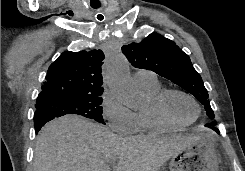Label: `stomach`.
Returning a JSON list of instances; mask_svg holds the SVG:
<instances>
[{"mask_svg":"<svg viewBox=\"0 0 245 171\" xmlns=\"http://www.w3.org/2000/svg\"><path fill=\"white\" fill-rule=\"evenodd\" d=\"M170 171H219L216 139L203 133L198 139L171 157Z\"/></svg>","mask_w":245,"mask_h":171,"instance_id":"1","label":"stomach"}]
</instances>
